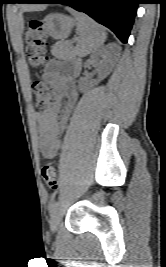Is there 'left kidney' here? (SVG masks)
Segmentation results:
<instances>
[{
  "instance_id": "1",
  "label": "left kidney",
  "mask_w": 166,
  "mask_h": 267,
  "mask_svg": "<svg viewBox=\"0 0 166 267\" xmlns=\"http://www.w3.org/2000/svg\"><path fill=\"white\" fill-rule=\"evenodd\" d=\"M92 61L95 63L98 71V79L90 81L89 83L81 82L80 88L85 90L97 85L100 81L105 79L112 71L113 61L109 55L107 48L97 51L91 56Z\"/></svg>"
}]
</instances>
